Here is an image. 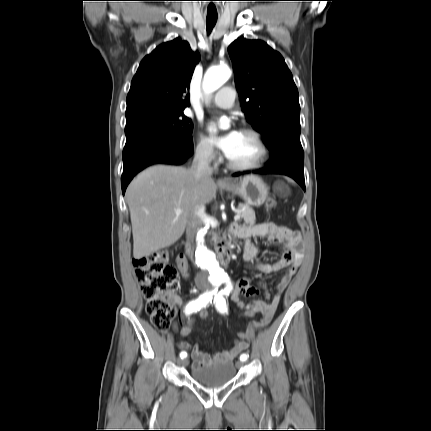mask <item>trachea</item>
I'll list each match as a JSON object with an SVG mask.
<instances>
[{
    "label": "trachea",
    "instance_id": "obj_1",
    "mask_svg": "<svg viewBox=\"0 0 431 431\" xmlns=\"http://www.w3.org/2000/svg\"><path fill=\"white\" fill-rule=\"evenodd\" d=\"M217 17H207V31L210 33L212 28L215 26Z\"/></svg>",
    "mask_w": 431,
    "mask_h": 431
}]
</instances>
